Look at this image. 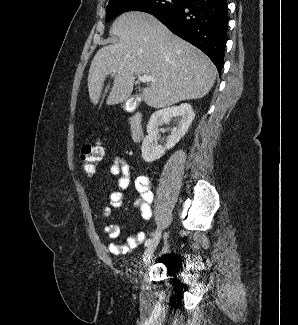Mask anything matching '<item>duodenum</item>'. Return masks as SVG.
Wrapping results in <instances>:
<instances>
[{"instance_id":"410a0bca","label":"duodenum","mask_w":298,"mask_h":325,"mask_svg":"<svg viewBox=\"0 0 298 325\" xmlns=\"http://www.w3.org/2000/svg\"><path fill=\"white\" fill-rule=\"evenodd\" d=\"M129 131L134 142H139L143 138V117L140 112H137L130 117Z\"/></svg>"}]
</instances>
